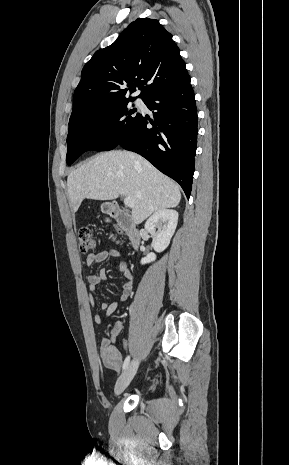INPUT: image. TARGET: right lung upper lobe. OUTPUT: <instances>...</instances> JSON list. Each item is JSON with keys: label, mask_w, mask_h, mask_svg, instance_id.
<instances>
[{"label": "right lung upper lobe", "mask_w": 289, "mask_h": 465, "mask_svg": "<svg viewBox=\"0 0 289 465\" xmlns=\"http://www.w3.org/2000/svg\"><path fill=\"white\" fill-rule=\"evenodd\" d=\"M189 80L172 35L158 20L139 18L112 45L95 52L84 66L74 92L69 127L77 121L84 104L127 99V92L133 93L136 87L141 90L139 97L145 100L158 91L182 86Z\"/></svg>", "instance_id": "1"}]
</instances>
